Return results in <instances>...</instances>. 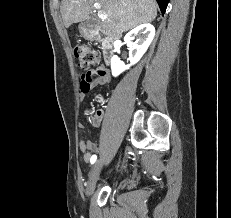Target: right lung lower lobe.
Returning a JSON list of instances; mask_svg holds the SVG:
<instances>
[{"instance_id":"right-lung-lower-lobe-1","label":"right lung lower lobe","mask_w":231,"mask_h":218,"mask_svg":"<svg viewBox=\"0 0 231 218\" xmlns=\"http://www.w3.org/2000/svg\"><path fill=\"white\" fill-rule=\"evenodd\" d=\"M156 1L160 7L162 14H164L169 0H156Z\"/></svg>"}]
</instances>
